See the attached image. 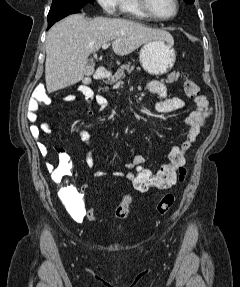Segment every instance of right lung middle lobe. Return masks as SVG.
Returning a JSON list of instances; mask_svg holds the SVG:
<instances>
[{"mask_svg":"<svg viewBox=\"0 0 240 287\" xmlns=\"http://www.w3.org/2000/svg\"><path fill=\"white\" fill-rule=\"evenodd\" d=\"M94 3V0H53L48 13V20L54 16L80 10L86 4Z\"/></svg>","mask_w":240,"mask_h":287,"instance_id":"dd1d6c3e","label":"right lung middle lobe"}]
</instances>
